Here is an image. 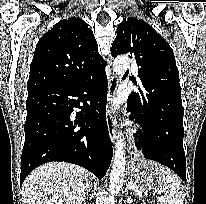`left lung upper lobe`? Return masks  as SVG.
<instances>
[{
	"label": "left lung upper lobe",
	"instance_id": "5c2ea615",
	"mask_svg": "<svg viewBox=\"0 0 206 204\" xmlns=\"http://www.w3.org/2000/svg\"><path fill=\"white\" fill-rule=\"evenodd\" d=\"M127 53L135 58L139 69L138 77L144 79L143 95L146 106L143 116H151L157 104L170 103L179 98L181 91L179 73L170 45L149 24L141 19L125 18L117 28L112 44V56Z\"/></svg>",
	"mask_w": 206,
	"mask_h": 204
}]
</instances>
